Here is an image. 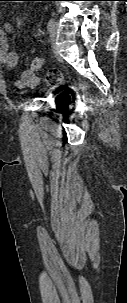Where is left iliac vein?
Instances as JSON below:
<instances>
[{
	"label": "left iliac vein",
	"mask_w": 127,
	"mask_h": 303,
	"mask_svg": "<svg viewBox=\"0 0 127 303\" xmlns=\"http://www.w3.org/2000/svg\"><path fill=\"white\" fill-rule=\"evenodd\" d=\"M58 38V30L57 27L55 26L51 31H50V41L51 44L53 45V51L54 53L58 56L57 50L54 47L55 42L57 41Z\"/></svg>",
	"instance_id": "obj_1"
}]
</instances>
